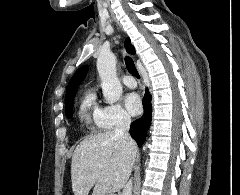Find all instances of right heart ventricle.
Segmentation results:
<instances>
[{"label":"right heart ventricle","mask_w":240,"mask_h":195,"mask_svg":"<svg viewBox=\"0 0 240 195\" xmlns=\"http://www.w3.org/2000/svg\"><path fill=\"white\" fill-rule=\"evenodd\" d=\"M100 109L101 106L97 102L96 94L89 91L80 105L79 117L83 125L91 131H107L109 129L99 116Z\"/></svg>","instance_id":"right-heart-ventricle-1"}]
</instances>
